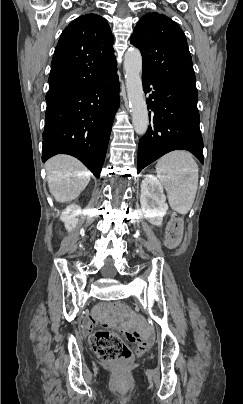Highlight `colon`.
I'll use <instances>...</instances> for the list:
<instances>
[{"mask_svg":"<svg viewBox=\"0 0 243 404\" xmlns=\"http://www.w3.org/2000/svg\"><path fill=\"white\" fill-rule=\"evenodd\" d=\"M183 232V221L179 217L173 218L167 227L164 237V245L168 248H175L181 241ZM107 307L122 315L129 313L128 307L121 302H109ZM131 345H128L116 333L107 330H99L91 337L97 356L107 362L128 360L133 353L142 354L150 347L151 341L143 337L138 331L127 333Z\"/></svg>","mask_w":243,"mask_h":404,"instance_id":"obj_1","label":"colon"}]
</instances>
